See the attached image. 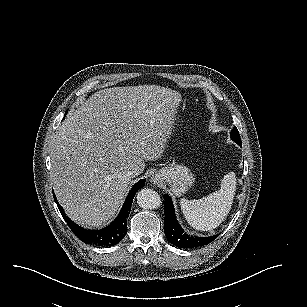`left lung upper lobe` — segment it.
Masks as SVG:
<instances>
[{
  "instance_id": "5c2ea615",
  "label": "left lung upper lobe",
  "mask_w": 307,
  "mask_h": 307,
  "mask_svg": "<svg viewBox=\"0 0 307 307\" xmlns=\"http://www.w3.org/2000/svg\"><path fill=\"white\" fill-rule=\"evenodd\" d=\"M231 139L235 141L239 146H242L240 134L236 127H234L230 133Z\"/></svg>"
}]
</instances>
